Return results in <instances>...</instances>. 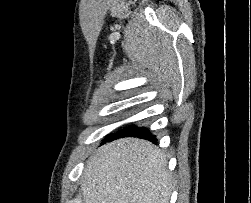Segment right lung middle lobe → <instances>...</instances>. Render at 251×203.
Returning <instances> with one entry per match:
<instances>
[{
  "label": "right lung middle lobe",
  "instance_id": "1",
  "mask_svg": "<svg viewBox=\"0 0 251 203\" xmlns=\"http://www.w3.org/2000/svg\"><path fill=\"white\" fill-rule=\"evenodd\" d=\"M111 135L107 136V139L110 138Z\"/></svg>",
  "mask_w": 251,
  "mask_h": 203
}]
</instances>
